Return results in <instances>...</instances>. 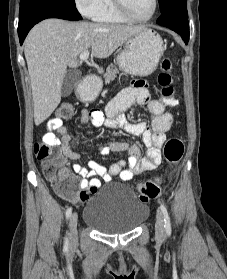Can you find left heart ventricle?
<instances>
[{
    "instance_id": "1",
    "label": "left heart ventricle",
    "mask_w": 227,
    "mask_h": 279,
    "mask_svg": "<svg viewBox=\"0 0 227 279\" xmlns=\"http://www.w3.org/2000/svg\"><path fill=\"white\" fill-rule=\"evenodd\" d=\"M129 11L135 17L142 18L150 14L152 0H124Z\"/></svg>"
}]
</instances>
